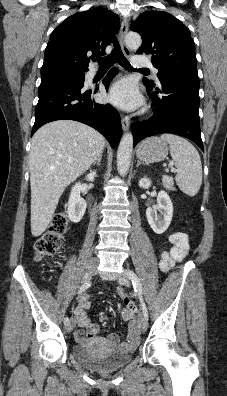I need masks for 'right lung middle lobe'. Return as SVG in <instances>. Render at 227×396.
I'll return each mask as SVG.
<instances>
[{"instance_id":"right-lung-middle-lobe-1","label":"right lung middle lobe","mask_w":227,"mask_h":396,"mask_svg":"<svg viewBox=\"0 0 227 396\" xmlns=\"http://www.w3.org/2000/svg\"><path fill=\"white\" fill-rule=\"evenodd\" d=\"M56 77H68L84 81L85 71L72 70V69H49L41 71V80H46Z\"/></svg>"}]
</instances>
